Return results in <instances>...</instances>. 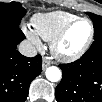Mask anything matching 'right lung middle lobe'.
<instances>
[{
  "label": "right lung middle lobe",
  "instance_id": "dd1d6c3e",
  "mask_svg": "<svg viewBox=\"0 0 102 102\" xmlns=\"http://www.w3.org/2000/svg\"><path fill=\"white\" fill-rule=\"evenodd\" d=\"M26 10L19 2L0 3V24L12 23L19 25Z\"/></svg>",
  "mask_w": 102,
  "mask_h": 102
}]
</instances>
